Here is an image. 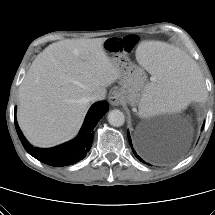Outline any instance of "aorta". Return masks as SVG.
Returning <instances> with one entry per match:
<instances>
[{
	"instance_id": "obj_1",
	"label": "aorta",
	"mask_w": 215,
	"mask_h": 215,
	"mask_svg": "<svg viewBox=\"0 0 215 215\" xmlns=\"http://www.w3.org/2000/svg\"><path fill=\"white\" fill-rule=\"evenodd\" d=\"M108 122L114 127H120L125 122V116L118 109L111 110L108 114Z\"/></svg>"
}]
</instances>
